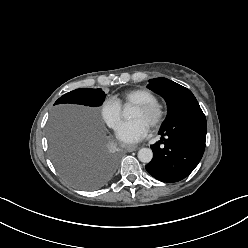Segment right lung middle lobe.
Here are the masks:
<instances>
[{
    "label": "right lung middle lobe",
    "instance_id": "dd1d6c3e",
    "mask_svg": "<svg viewBox=\"0 0 248 248\" xmlns=\"http://www.w3.org/2000/svg\"><path fill=\"white\" fill-rule=\"evenodd\" d=\"M106 94L99 89H76L60 97L55 104L73 103L96 107ZM53 163L59 173L73 186L94 190L112 177L116 162L102 151L104 137L93 117L81 118L75 127L54 125L49 132Z\"/></svg>",
    "mask_w": 248,
    "mask_h": 248
}]
</instances>
